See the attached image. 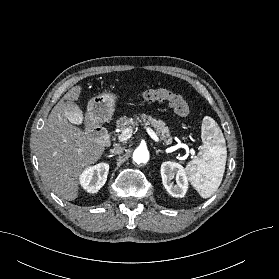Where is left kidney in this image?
<instances>
[{"label": "left kidney", "instance_id": "obj_1", "mask_svg": "<svg viewBox=\"0 0 279 279\" xmlns=\"http://www.w3.org/2000/svg\"><path fill=\"white\" fill-rule=\"evenodd\" d=\"M161 178L167 192L176 198L185 196L188 190V176L182 165L166 161L161 165ZM175 178L176 184L172 182Z\"/></svg>", "mask_w": 279, "mask_h": 279}]
</instances>
